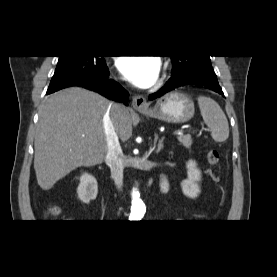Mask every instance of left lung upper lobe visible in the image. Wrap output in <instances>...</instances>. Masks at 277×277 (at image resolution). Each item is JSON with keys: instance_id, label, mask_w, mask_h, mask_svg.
<instances>
[{"instance_id": "1", "label": "left lung upper lobe", "mask_w": 277, "mask_h": 277, "mask_svg": "<svg viewBox=\"0 0 277 277\" xmlns=\"http://www.w3.org/2000/svg\"><path fill=\"white\" fill-rule=\"evenodd\" d=\"M173 64L172 76L193 72H214L209 56H170Z\"/></svg>"}]
</instances>
